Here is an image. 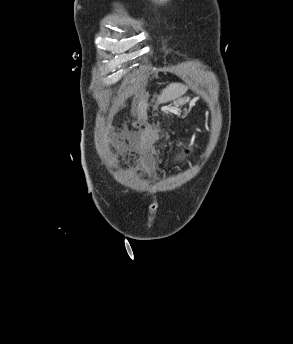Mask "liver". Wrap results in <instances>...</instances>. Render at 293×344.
Segmentation results:
<instances>
[{
  "label": "liver",
  "instance_id": "obj_1",
  "mask_svg": "<svg viewBox=\"0 0 293 344\" xmlns=\"http://www.w3.org/2000/svg\"><path fill=\"white\" fill-rule=\"evenodd\" d=\"M187 91V87L180 83H172L158 96V103H166L180 98Z\"/></svg>",
  "mask_w": 293,
  "mask_h": 344
}]
</instances>
